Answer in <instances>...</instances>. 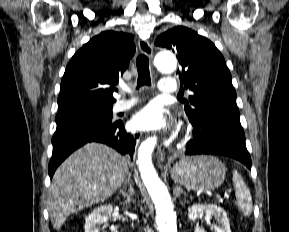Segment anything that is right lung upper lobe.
I'll list each match as a JSON object with an SVG mask.
<instances>
[{"label":"right lung upper lobe","instance_id":"obj_1","mask_svg":"<svg viewBox=\"0 0 289 232\" xmlns=\"http://www.w3.org/2000/svg\"><path fill=\"white\" fill-rule=\"evenodd\" d=\"M132 35L104 31L72 57L61 81L58 108L113 106L115 85L135 53Z\"/></svg>","mask_w":289,"mask_h":232}]
</instances>
